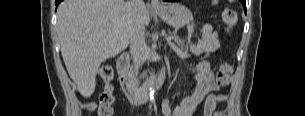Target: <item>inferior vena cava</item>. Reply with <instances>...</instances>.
<instances>
[{
    "instance_id": "1",
    "label": "inferior vena cava",
    "mask_w": 305,
    "mask_h": 116,
    "mask_svg": "<svg viewBox=\"0 0 305 116\" xmlns=\"http://www.w3.org/2000/svg\"><path fill=\"white\" fill-rule=\"evenodd\" d=\"M130 4L134 14L130 33V53L132 55L135 68L138 70L142 64L141 59L144 43V31L140 22L139 13L145 5L142 0H132L130 1Z\"/></svg>"
}]
</instances>
